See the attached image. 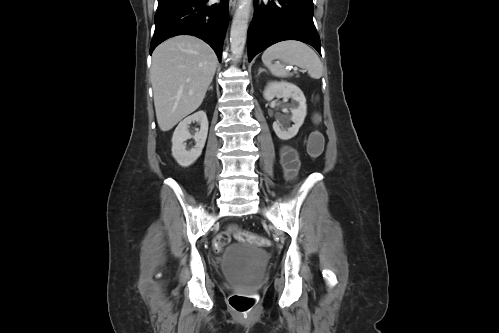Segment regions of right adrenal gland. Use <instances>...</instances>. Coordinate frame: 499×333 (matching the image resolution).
I'll return each instance as SVG.
<instances>
[{
    "mask_svg": "<svg viewBox=\"0 0 499 333\" xmlns=\"http://www.w3.org/2000/svg\"><path fill=\"white\" fill-rule=\"evenodd\" d=\"M208 90H213V86L211 85V86L208 88Z\"/></svg>",
    "mask_w": 499,
    "mask_h": 333,
    "instance_id": "right-adrenal-gland-1",
    "label": "right adrenal gland"
}]
</instances>
